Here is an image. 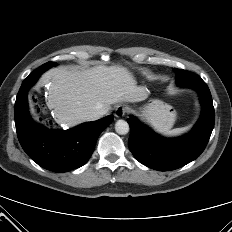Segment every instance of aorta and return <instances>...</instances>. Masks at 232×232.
Wrapping results in <instances>:
<instances>
[{
	"label": "aorta",
	"mask_w": 232,
	"mask_h": 232,
	"mask_svg": "<svg viewBox=\"0 0 232 232\" xmlns=\"http://www.w3.org/2000/svg\"><path fill=\"white\" fill-rule=\"evenodd\" d=\"M115 130L120 135H125L129 132V124L124 120H118L115 124Z\"/></svg>",
	"instance_id": "1"
}]
</instances>
